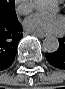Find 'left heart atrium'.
<instances>
[{
    "label": "left heart atrium",
    "instance_id": "left-heart-atrium-1",
    "mask_svg": "<svg viewBox=\"0 0 65 89\" xmlns=\"http://www.w3.org/2000/svg\"><path fill=\"white\" fill-rule=\"evenodd\" d=\"M24 27L26 31L33 34H56L63 31L64 20L58 15L35 13L25 19Z\"/></svg>",
    "mask_w": 65,
    "mask_h": 89
}]
</instances>
